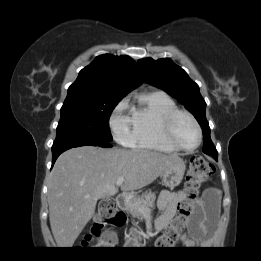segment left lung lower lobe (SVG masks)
<instances>
[{
    "mask_svg": "<svg viewBox=\"0 0 261 261\" xmlns=\"http://www.w3.org/2000/svg\"><path fill=\"white\" fill-rule=\"evenodd\" d=\"M204 153H205V152H204ZM210 156H211V155H210ZM212 157L217 161V157H218V156H217V157L212 156Z\"/></svg>",
    "mask_w": 261,
    "mask_h": 261,
    "instance_id": "left-lung-lower-lobe-1",
    "label": "left lung lower lobe"
}]
</instances>
